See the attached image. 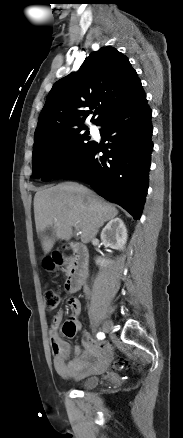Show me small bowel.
Returning <instances> with one entry per match:
<instances>
[{"instance_id":"small-bowel-1","label":"small bowel","mask_w":183,"mask_h":438,"mask_svg":"<svg viewBox=\"0 0 183 438\" xmlns=\"http://www.w3.org/2000/svg\"><path fill=\"white\" fill-rule=\"evenodd\" d=\"M72 316L68 318V322L75 325L76 331L81 329V323L78 315L81 311L79 300L72 299L69 302ZM63 319V314L58 313L52 318L50 327L51 349L53 354V366L57 374L63 379H82L89 375H99L107 370L108 361L110 359L109 347L105 344H99L97 341L84 336L82 346L84 351L79 346L74 349V356L67 361L71 347L67 341L59 335V327ZM94 357L97 359L95 364H91L89 359Z\"/></svg>"}]
</instances>
